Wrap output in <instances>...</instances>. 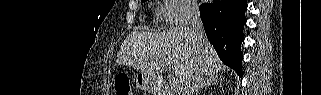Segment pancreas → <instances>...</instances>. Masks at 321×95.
<instances>
[{"label": "pancreas", "mask_w": 321, "mask_h": 95, "mask_svg": "<svg viewBox=\"0 0 321 95\" xmlns=\"http://www.w3.org/2000/svg\"><path fill=\"white\" fill-rule=\"evenodd\" d=\"M170 93L172 94V91H169V94H170Z\"/></svg>", "instance_id": "cf45deb5"}]
</instances>
